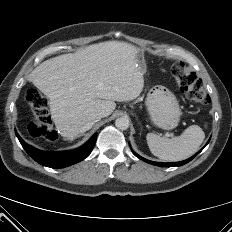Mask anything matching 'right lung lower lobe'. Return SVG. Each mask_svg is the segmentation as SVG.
Listing matches in <instances>:
<instances>
[{"mask_svg":"<svg viewBox=\"0 0 232 232\" xmlns=\"http://www.w3.org/2000/svg\"><path fill=\"white\" fill-rule=\"evenodd\" d=\"M21 145L25 151L38 163L51 168H63L85 159L91 153L96 142L97 133L91 139L78 149L71 151L49 152L41 151L28 145L16 132Z\"/></svg>","mask_w":232,"mask_h":232,"instance_id":"1","label":"right lung lower lobe"}]
</instances>
